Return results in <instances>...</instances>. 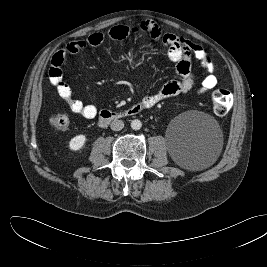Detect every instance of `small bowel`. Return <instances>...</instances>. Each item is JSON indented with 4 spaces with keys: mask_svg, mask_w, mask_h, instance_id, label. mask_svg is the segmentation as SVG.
Segmentation results:
<instances>
[{
    "mask_svg": "<svg viewBox=\"0 0 267 267\" xmlns=\"http://www.w3.org/2000/svg\"><path fill=\"white\" fill-rule=\"evenodd\" d=\"M139 33H146L167 47V56L175 64L179 76L178 79L167 82L157 93L144 97L141 102L147 108H151L167 98L185 94L194 87L195 78L191 72L192 57L199 61L206 73L201 82L199 94L203 95L216 87L218 81L213 61L200 45L172 33L164 32L155 22L145 20L135 27L117 25L107 32H95L82 40L68 43L54 54L49 70V80L59 97L67 103L71 112L86 119H92L97 115V107L93 104H85L73 97L72 88L63 79L62 65L66 57L76 54L86 47L97 46L106 39L124 42Z\"/></svg>",
    "mask_w": 267,
    "mask_h": 267,
    "instance_id": "c3829d8e",
    "label": "small bowel"
}]
</instances>
